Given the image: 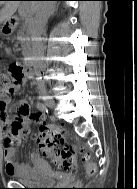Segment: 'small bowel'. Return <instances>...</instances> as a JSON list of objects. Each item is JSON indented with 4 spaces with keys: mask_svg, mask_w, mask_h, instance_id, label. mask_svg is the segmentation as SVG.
<instances>
[{
    "mask_svg": "<svg viewBox=\"0 0 137 189\" xmlns=\"http://www.w3.org/2000/svg\"><path fill=\"white\" fill-rule=\"evenodd\" d=\"M26 74L30 75L27 70ZM23 80V79H22ZM22 82V81H21ZM21 84V83H20ZM7 99L0 97V138L4 145V167L5 171L8 175L13 176L14 174L18 175H27L30 172V166L24 163H17L16 162V148L15 145L21 142V135H13L11 129L8 128L10 123V119L6 114V106H7ZM27 106L25 101H21L18 103L16 110L17 114L13 120L21 119L23 121V125L26 129L27 127V120L26 115L21 113V109ZM12 120V121H13ZM11 121V123H12ZM31 159L33 161H38L39 156L36 153L31 154Z\"/></svg>",
    "mask_w": 137,
    "mask_h": 189,
    "instance_id": "c3829d8e",
    "label": "small bowel"
}]
</instances>
